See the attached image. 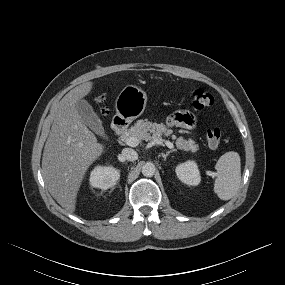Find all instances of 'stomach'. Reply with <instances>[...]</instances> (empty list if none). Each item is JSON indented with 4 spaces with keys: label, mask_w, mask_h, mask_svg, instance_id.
<instances>
[{
    "label": "stomach",
    "mask_w": 285,
    "mask_h": 285,
    "mask_svg": "<svg viewBox=\"0 0 285 285\" xmlns=\"http://www.w3.org/2000/svg\"><path fill=\"white\" fill-rule=\"evenodd\" d=\"M146 104V92L135 85H127L116 99V115L127 122H132L142 115Z\"/></svg>",
    "instance_id": "1"
}]
</instances>
